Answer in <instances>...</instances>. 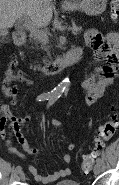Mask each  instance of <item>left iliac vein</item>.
<instances>
[{"label":"left iliac vein","instance_id":"left-iliac-vein-1","mask_svg":"<svg viewBox=\"0 0 119 185\" xmlns=\"http://www.w3.org/2000/svg\"><path fill=\"white\" fill-rule=\"evenodd\" d=\"M94 174L95 175H98V174H100V171H101V164H99V163H96L95 164V166H94Z\"/></svg>","mask_w":119,"mask_h":185}]
</instances>
